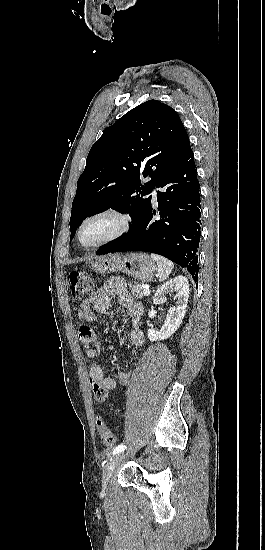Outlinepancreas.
<instances>
[{
	"instance_id": "cf45deb5",
	"label": "pancreas",
	"mask_w": 265,
	"mask_h": 550,
	"mask_svg": "<svg viewBox=\"0 0 265 550\" xmlns=\"http://www.w3.org/2000/svg\"><path fill=\"white\" fill-rule=\"evenodd\" d=\"M130 288V292L133 296L137 297L138 299H143L144 297V288L138 284V283H129L128 284Z\"/></svg>"
}]
</instances>
